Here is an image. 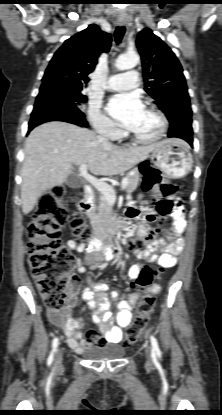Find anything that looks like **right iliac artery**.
Wrapping results in <instances>:
<instances>
[{
	"mask_svg": "<svg viewBox=\"0 0 222 415\" xmlns=\"http://www.w3.org/2000/svg\"><path fill=\"white\" fill-rule=\"evenodd\" d=\"M58 343H59L58 338H54L53 341H52V351H51V353L48 357V360H47L48 365H50L53 361L54 354L57 351Z\"/></svg>",
	"mask_w": 222,
	"mask_h": 415,
	"instance_id": "right-iliac-artery-1",
	"label": "right iliac artery"
}]
</instances>
